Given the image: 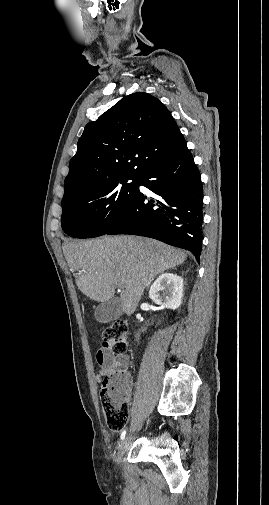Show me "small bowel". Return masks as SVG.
I'll list each match as a JSON object with an SVG mask.
<instances>
[{
	"label": "small bowel",
	"instance_id": "1",
	"mask_svg": "<svg viewBox=\"0 0 269 505\" xmlns=\"http://www.w3.org/2000/svg\"><path fill=\"white\" fill-rule=\"evenodd\" d=\"M96 362L100 366L99 378L102 379L109 376L121 375L128 378L130 382L128 356L124 355L118 357L106 349H100L96 353Z\"/></svg>",
	"mask_w": 269,
	"mask_h": 505
}]
</instances>
